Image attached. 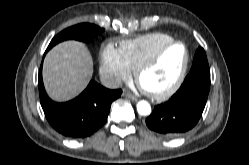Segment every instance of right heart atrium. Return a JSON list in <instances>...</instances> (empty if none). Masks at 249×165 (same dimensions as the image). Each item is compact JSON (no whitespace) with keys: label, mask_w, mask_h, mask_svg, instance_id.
<instances>
[{"label":"right heart atrium","mask_w":249,"mask_h":165,"mask_svg":"<svg viewBox=\"0 0 249 165\" xmlns=\"http://www.w3.org/2000/svg\"><path fill=\"white\" fill-rule=\"evenodd\" d=\"M100 74L109 85L117 86L131 77V69L120 50L107 45L101 53Z\"/></svg>","instance_id":"1"}]
</instances>
